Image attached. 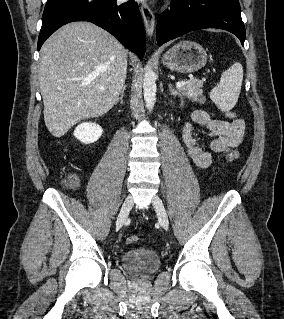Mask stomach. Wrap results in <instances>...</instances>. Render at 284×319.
<instances>
[{
    "label": "stomach",
    "mask_w": 284,
    "mask_h": 319,
    "mask_svg": "<svg viewBox=\"0 0 284 319\" xmlns=\"http://www.w3.org/2000/svg\"><path fill=\"white\" fill-rule=\"evenodd\" d=\"M207 53L198 43L181 41L162 57V63L171 71L192 73L205 66Z\"/></svg>",
    "instance_id": "stomach-1"
}]
</instances>
